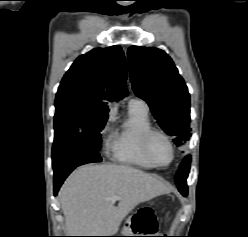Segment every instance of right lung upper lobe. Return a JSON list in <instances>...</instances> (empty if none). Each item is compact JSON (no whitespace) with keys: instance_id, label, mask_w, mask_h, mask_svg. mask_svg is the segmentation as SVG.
<instances>
[{"instance_id":"obj_1","label":"right lung upper lobe","mask_w":248,"mask_h":237,"mask_svg":"<svg viewBox=\"0 0 248 237\" xmlns=\"http://www.w3.org/2000/svg\"><path fill=\"white\" fill-rule=\"evenodd\" d=\"M126 78V60L120 46L93 49L79 56L64 75L55 103H74L108 114L104 101H117L127 94Z\"/></svg>"}]
</instances>
